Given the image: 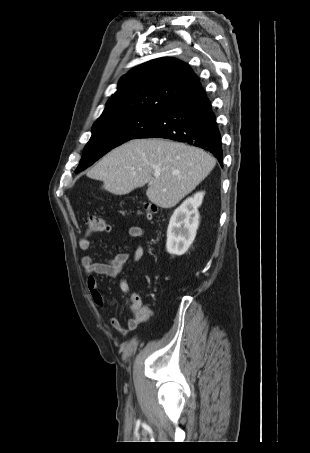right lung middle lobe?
Returning <instances> with one entry per match:
<instances>
[{"mask_svg":"<svg viewBox=\"0 0 310 453\" xmlns=\"http://www.w3.org/2000/svg\"><path fill=\"white\" fill-rule=\"evenodd\" d=\"M161 114L120 113L99 118L84 148L76 173L92 165L104 154L122 143L135 139L147 130Z\"/></svg>","mask_w":310,"mask_h":453,"instance_id":"obj_1","label":"right lung middle lobe"}]
</instances>
